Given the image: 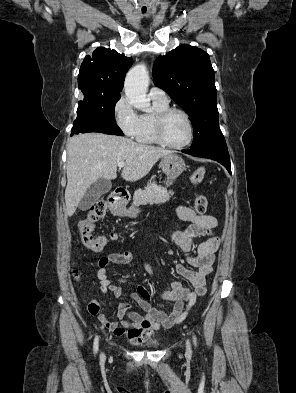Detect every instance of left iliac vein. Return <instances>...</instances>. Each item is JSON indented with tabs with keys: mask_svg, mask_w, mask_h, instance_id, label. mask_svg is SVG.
Segmentation results:
<instances>
[{
	"mask_svg": "<svg viewBox=\"0 0 296 393\" xmlns=\"http://www.w3.org/2000/svg\"><path fill=\"white\" fill-rule=\"evenodd\" d=\"M186 350H187V354H190V353H191V347H190L189 341H187Z\"/></svg>",
	"mask_w": 296,
	"mask_h": 393,
	"instance_id": "1",
	"label": "left iliac vein"
}]
</instances>
